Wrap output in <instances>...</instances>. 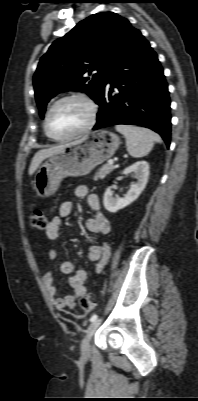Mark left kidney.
<instances>
[{
    "instance_id": "5707ae66",
    "label": "left kidney",
    "mask_w": 198,
    "mask_h": 401,
    "mask_svg": "<svg viewBox=\"0 0 198 401\" xmlns=\"http://www.w3.org/2000/svg\"><path fill=\"white\" fill-rule=\"evenodd\" d=\"M130 173H134L137 182L130 186L129 191L124 198L114 195L111 187L106 189L103 204L105 209L109 212L115 213L118 210L127 207L140 196L148 181L149 164L146 161H138L123 171V174L125 175Z\"/></svg>"
}]
</instances>
